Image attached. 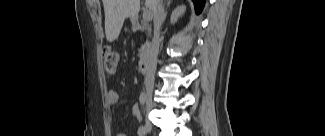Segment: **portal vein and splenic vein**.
I'll return each instance as SVG.
<instances>
[{
  "mask_svg": "<svg viewBox=\"0 0 325 136\" xmlns=\"http://www.w3.org/2000/svg\"><path fill=\"white\" fill-rule=\"evenodd\" d=\"M152 19V13L148 10L143 12V20L150 21Z\"/></svg>",
  "mask_w": 325,
  "mask_h": 136,
  "instance_id": "portal-vein-and-splenic-vein-1",
  "label": "portal vein and splenic vein"
}]
</instances>
